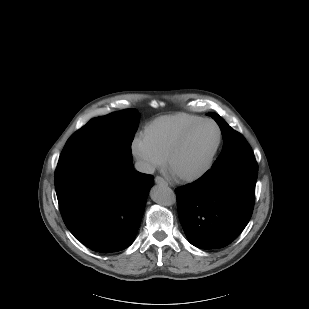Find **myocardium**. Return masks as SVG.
Segmentation results:
<instances>
[{
  "label": "myocardium",
  "instance_id": "1",
  "mask_svg": "<svg viewBox=\"0 0 309 309\" xmlns=\"http://www.w3.org/2000/svg\"><path fill=\"white\" fill-rule=\"evenodd\" d=\"M205 123H211L216 126L218 130V141L216 143V146L212 152V155L208 161V163L205 165L204 168H202L200 171L193 173V174H184V175H176L177 180L181 182H193L196 180L201 179L204 177L213 167L217 155L220 151V148L223 143V130L219 123L215 121L214 119L211 118H204L193 125H191L189 128H187L179 137L178 139L174 142L170 150L168 151L166 157H165V164L167 167L170 166L171 160L173 157L177 154V152L180 150V148L183 146V144L186 142V140L190 137V135L201 125Z\"/></svg>",
  "mask_w": 309,
  "mask_h": 309
}]
</instances>
